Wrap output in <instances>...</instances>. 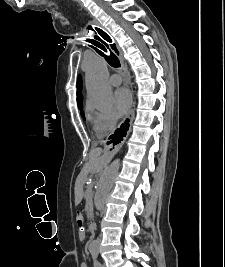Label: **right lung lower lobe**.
Returning a JSON list of instances; mask_svg holds the SVG:
<instances>
[{"instance_id":"1","label":"right lung lower lobe","mask_w":225,"mask_h":267,"mask_svg":"<svg viewBox=\"0 0 225 267\" xmlns=\"http://www.w3.org/2000/svg\"><path fill=\"white\" fill-rule=\"evenodd\" d=\"M118 131L119 129L116 131V133L114 135H112L110 138L113 140V144H116V142L118 141L117 139V135H118Z\"/></svg>"}]
</instances>
